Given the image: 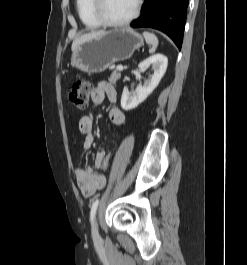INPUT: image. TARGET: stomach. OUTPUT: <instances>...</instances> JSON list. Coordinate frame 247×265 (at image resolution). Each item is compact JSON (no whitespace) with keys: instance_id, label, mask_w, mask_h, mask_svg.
I'll list each match as a JSON object with an SVG mask.
<instances>
[{"instance_id":"stomach-1","label":"stomach","mask_w":247,"mask_h":265,"mask_svg":"<svg viewBox=\"0 0 247 265\" xmlns=\"http://www.w3.org/2000/svg\"><path fill=\"white\" fill-rule=\"evenodd\" d=\"M143 45V38L130 28H115L79 44L71 65L86 73H100L113 63L129 59Z\"/></svg>"}]
</instances>
